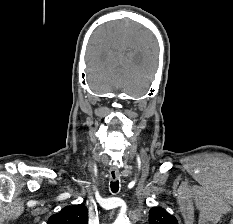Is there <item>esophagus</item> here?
I'll return each mask as SVG.
<instances>
[{
    "mask_svg": "<svg viewBox=\"0 0 233 224\" xmlns=\"http://www.w3.org/2000/svg\"><path fill=\"white\" fill-rule=\"evenodd\" d=\"M109 176L112 181H116L120 178V173L118 170H110Z\"/></svg>",
    "mask_w": 233,
    "mask_h": 224,
    "instance_id": "esophagus-1",
    "label": "esophagus"
}]
</instances>
